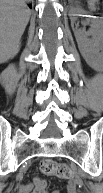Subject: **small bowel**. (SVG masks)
Segmentation results:
<instances>
[{"mask_svg": "<svg viewBox=\"0 0 103 193\" xmlns=\"http://www.w3.org/2000/svg\"><path fill=\"white\" fill-rule=\"evenodd\" d=\"M78 179H70L65 187V193H78L79 187ZM18 193H49L47 190L46 182L40 178L34 179L30 184L18 186ZM52 193H60V191L55 190Z\"/></svg>", "mask_w": 103, "mask_h": 193, "instance_id": "obj_1", "label": "small bowel"}]
</instances>
